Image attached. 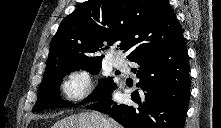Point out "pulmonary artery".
<instances>
[{"label":"pulmonary artery","instance_id":"pulmonary-artery-1","mask_svg":"<svg viewBox=\"0 0 221 128\" xmlns=\"http://www.w3.org/2000/svg\"><path fill=\"white\" fill-rule=\"evenodd\" d=\"M113 64L116 68H119V69H124L125 66H126V61L122 58H114L113 60Z\"/></svg>","mask_w":221,"mask_h":128}]
</instances>
